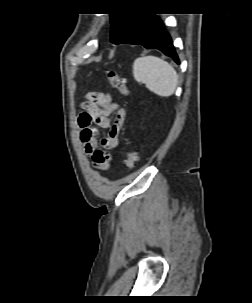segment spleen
<instances>
[{
  "label": "spleen",
  "instance_id": "spleen-1",
  "mask_svg": "<svg viewBox=\"0 0 252 303\" xmlns=\"http://www.w3.org/2000/svg\"><path fill=\"white\" fill-rule=\"evenodd\" d=\"M133 76L136 81L144 83L150 91L161 97L173 95L178 83V75L172 65L151 55L134 61Z\"/></svg>",
  "mask_w": 252,
  "mask_h": 303
}]
</instances>
